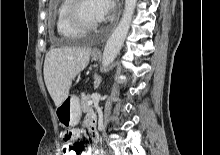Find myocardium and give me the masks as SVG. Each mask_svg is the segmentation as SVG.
Wrapping results in <instances>:
<instances>
[{"instance_id": "obj_1", "label": "myocardium", "mask_w": 220, "mask_h": 155, "mask_svg": "<svg viewBox=\"0 0 220 155\" xmlns=\"http://www.w3.org/2000/svg\"><path fill=\"white\" fill-rule=\"evenodd\" d=\"M82 2L83 0H71L67 17L73 27L86 33L96 29L99 26V22H89L84 19L81 12Z\"/></svg>"}]
</instances>
